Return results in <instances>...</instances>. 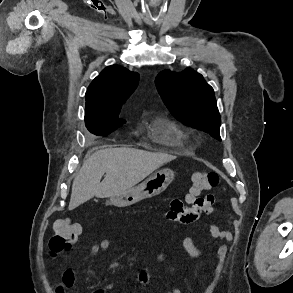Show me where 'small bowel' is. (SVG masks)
Returning a JSON list of instances; mask_svg holds the SVG:
<instances>
[{
    "instance_id": "small-bowel-1",
    "label": "small bowel",
    "mask_w": 293,
    "mask_h": 293,
    "mask_svg": "<svg viewBox=\"0 0 293 293\" xmlns=\"http://www.w3.org/2000/svg\"><path fill=\"white\" fill-rule=\"evenodd\" d=\"M188 206H184L180 199L172 200L170 209L163 214V218L170 222L189 224L197 221L200 216L212 213L214 210V196L209 194L200 198V202L195 204L188 200ZM81 230V228H80ZM211 236L216 240H226L228 242L233 240V234L229 231L221 230L214 224L209 225ZM81 233V232H80ZM182 245L189 256L193 258H200L203 256V251L198 248L190 236H186L182 240ZM111 247V240L104 238L98 243L91 246L90 252L92 255H98L100 252L108 250ZM217 263L213 269L211 280L209 281L204 293H214L220 278L223 263L227 256V247L220 246L216 251ZM143 283H147L149 276L146 272H142L139 276ZM74 285V273L71 269H64L62 272V283L55 286L54 293H66V289L72 288ZM114 285L108 283L104 288L97 289L94 293H105L106 290L113 289ZM168 293H182L181 289L173 288Z\"/></svg>"
}]
</instances>
